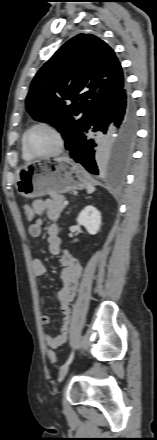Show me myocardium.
Returning a JSON list of instances; mask_svg holds the SVG:
<instances>
[{
	"mask_svg": "<svg viewBox=\"0 0 157 440\" xmlns=\"http://www.w3.org/2000/svg\"><path fill=\"white\" fill-rule=\"evenodd\" d=\"M39 127L49 129L51 132H53V134L55 135V137L57 139L56 148L48 154H36L29 147V144H28L29 134L31 133L32 130L39 128ZM23 143H24V147H25L26 151L32 157H49V156H54V155L60 154L65 149V145H66L65 137H64L62 130L57 125L50 123V122H45V121L37 122V123L33 124L31 127H29L24 134Z\"/></svg>",
	"mask_w": 157,
	"mask_h": 440,
	"instance_id": "obj_1",
	"label": "myocardium"
}]
</instances>
